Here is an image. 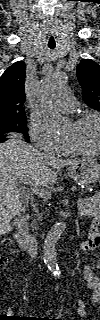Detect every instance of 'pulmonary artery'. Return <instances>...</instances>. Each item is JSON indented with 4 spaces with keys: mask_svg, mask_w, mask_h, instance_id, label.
Instances as JSON below:
<instances>
[{
    "mask_svg": "<svg viewBox=\"0 0 100 320\" xmlns=\"http://www.w3.org/2000/svg\"><path fill=\"white\" fill-rule=\"evenodd\" d=\"M55 105L64 113L75 111L76 102L74 97L67 91L63 92L55 102Z\"/></svg>",
    "mask_w": 100,
    "mask_h": 320,
    "instance_id": "e3ab8cb5",
    "label": "pulmonary artery"
}]
</instances>
